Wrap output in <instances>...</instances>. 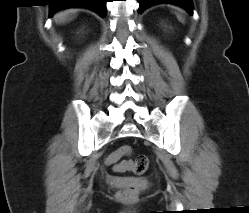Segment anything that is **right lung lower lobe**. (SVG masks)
<instances>
[{
	"mask_svg": "<svg viewBox=\"0 0 249 213\" xmlns=\"http://www.w3.org/2000/svg\"><path fill=\"white\" fill-rule=\"evenodd\" d=\"M106 1L107 0H53L50 4V15L64 8L84 7L98 13L104 18L106 16Z\"/></svg>",
	"mask_w": 249,
	"mask_h": 213,
	"instance_id": "98d812e1",
	"label": "right lung lower lobe"
}]
</instances>
